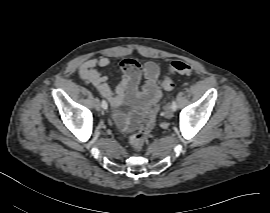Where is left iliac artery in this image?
<instances>
[{
  "mask_svg": "<svg viewBox=\"0 0 270 213\" xmlns=\"http://www.w3.org/2000/svg\"><path fill=\"white\" fill-rule=\"evenodd\" d=\"M171 108L173 109V111L177 110V104H176V101L174 99L172 100Z\"/></svg>",
  "mask_w": 270,
  "mask_h": 213,
  "instance_id": "left-iliac-artery-1",
  "label": "left iliac artery"
}]
</instances>
